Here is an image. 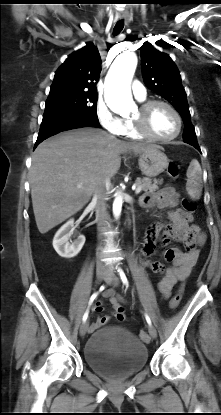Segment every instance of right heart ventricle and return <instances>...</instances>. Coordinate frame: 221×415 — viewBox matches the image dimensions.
<instances>
[{
  "label": "right heart ventricle",
  "instance_id": "obj_1",
  "mask_svg": "<svg viewBox=\"0 0 221 415\" xmlns=\"http://www.w3.org/2000/svg\"><path fill=\"white\" fill-rule=\"evenodd\" d=\"M124 135H126L127 137H129L131 139H141L142 138L137 133V131L135 130V127H134V124H133L132 120H127L126 121V129H125Z\"/></svg>",
  "mask_w": 221,
  "mask_h": 415
}]
</instances>
